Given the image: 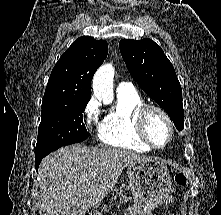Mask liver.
Segmentation results:
<instances>
[{"label": "liver", "mask_w": 221, "mask_h": 215, "mask_svg": "<svg viewBox=\"0 0 221 215\" xmlns=\"http://www.w3.org/2000/svg\"><path fill=\"white\" fill-rule=\"evenodd\" d=\"M147 159L127 150L81 144L57 150L39 167L43 215H85L108 195L126 166Z\"/></svg>", "instance_id": "obj_1"}]
</instances>
